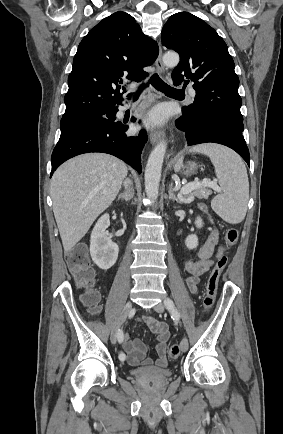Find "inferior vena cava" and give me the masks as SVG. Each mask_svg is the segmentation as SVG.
<instances>
[{
    "label": "inferior vena cava",
    "instance_id": "1",
    "mask_svg": "<svg viewBox=\"0 0 283 434\" xmlns=\"http://www.w3.org/2000/svg\"><path fill=\"white\" fill-rule=\"evenodd\" d=\"M129 184H130V180L126 179L125 182H124V186H125V189H127V191L129 190L128 189L129 188Z\"/></svg>",
    "mask_w": 283,
    "mask_h": 434
}]
</instances>
